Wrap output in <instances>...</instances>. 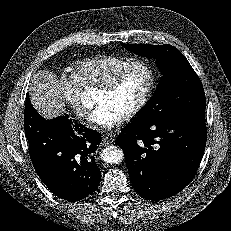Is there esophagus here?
I'll list each match as a JSON object with an SVG mask.
<instances>
[{
  "mask_svg": "<svg viewBox=\"0 0 231 231\" xmlns=\"http://www.w3.org/2000/svg\"><path fill=\"white\" fill-rule=\"evenodd\" d=\"M102 140L106 144L113 143L115 141V135L112 133H106L102 136Z\"/></svg>",
  "mask_w": 231,
  "mask_h": 231,
  "instance_id": "esophagus-1",
  "label": "esophagus"
}]
</instances>
